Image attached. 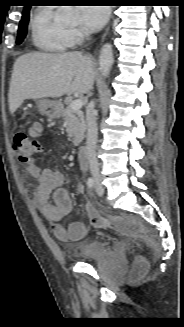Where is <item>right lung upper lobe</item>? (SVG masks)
I'll return each mask as SVG.
<instances>
[{"mask_svg":"<svg viewBox=\"0 0 184 327\" xmlns=\"http://www.w3.org/2000/svg\"><path fill=\"white\" fill-rule=\"evenodd\" d=\"M29 10H30V6L27 5V6L24 7L23 13H25V12H27Z\"/></svg>","mask_w":184,"mask_h":327,"instance_id":"right-lung-upper-lobe-1","label":"right lung upper lobe"}]
</instances>
